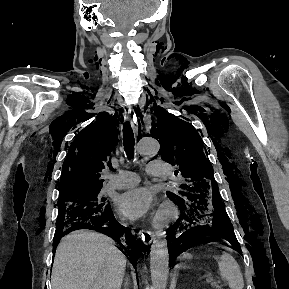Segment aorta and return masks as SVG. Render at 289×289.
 Wrapping results in <instances>:
<instances>
[{
  "mask_svg": "<svg viewBox=\"0 0 289 289\" xmlns=\"http://www.w3.org/2000/svg\"><path fill=\"white\" fill-rule=\"evenodd\" d=\"M160 146L152 137H142L137 151L142 157L156 156ZM151 281L154 289H166L169 274V253L165 231L156 233L150 251Z\"/></svg>",
  "mask_w": 289,
  "mask_h": 289,
  "instance_id": "obj_1",
  "label": "aorta"
}]
</instances>
